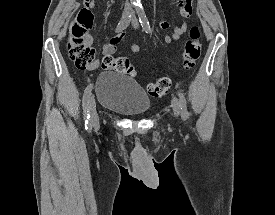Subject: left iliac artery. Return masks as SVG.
<instances>
[{
    "mask_svg": "<svg viewBox=\"0 0 275 215\" xmlns=\"http://www.w3.org/2000/svg\"><path fill=\"white\" fill-rule=\"evenodd\" d=\"M137 13H138L139 21L141 23L143 30H145L146 33H150L151 29H150L149 21L146 17L145 11L142 6L137 7ZM178 95L180 98L179 103H180V109H181V116L184 120H186L189 118V113L187 110V102H186L185 96L181 92H178Z\"/></svg>",
    "mask_w": 275,
    "mask_h": 215,
    "instance_id": "1",
    "label": "left iliac artery"
}]
</instances>
